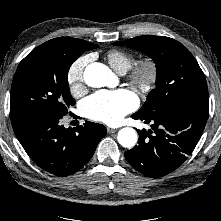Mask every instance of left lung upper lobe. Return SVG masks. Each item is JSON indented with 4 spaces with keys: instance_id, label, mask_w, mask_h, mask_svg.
I'll list each match as a JSON object with an SVG mask.
<instances>
[{
    "instance_id": "5c2ea615",
    "label": "left lung upper lobe",
    "mask_w": 221,
    "mask_h": 221,
    "mask_svg": "<svg viewBox=\"0 0 221 221\" xmlns=\"http://www.w3.org/2000/svg\"><path fill=\"white\" fill-rule=\"evenodd\" d=\"M113 44L139 50L156 64V88L149 93L138 113L158 114L189 103L209 108L205 75L194 56L181 43L164 36L143 35Z\"/></svg>"
}]
</instances>
